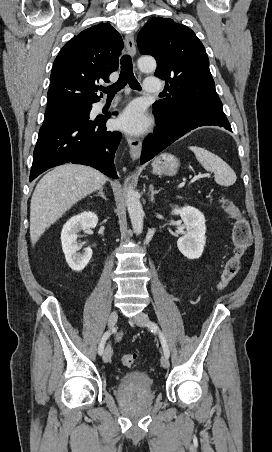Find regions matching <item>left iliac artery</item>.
<instances>
[{"label":"left iliac artery","mask_w":272,"mask_h":452,"mask_svg":"<svg viewBox=\"0 0 272 452\" xmlns=\"http://www.w3.org/2000/svg\"><path fill=\"white\" fill-rule=\"evenodd\" d=\"M148 326L150 327V329L152 331H159V337H160V341H161V344H162V347H163L164 354L167 357H169L170 356V351H169V348H168V345H167V341H166V338H165L164 334L159 330V327L157 326V324H155L153 322H150V324Z\"/></svg>","instance_id":"1"}]
</instances>
